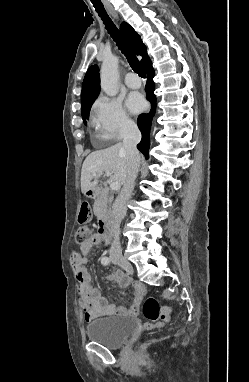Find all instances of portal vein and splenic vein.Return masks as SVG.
<instances>
[{
  "mask_svg": "<svg viewBox=\"0 0 249 382\" xmlns=\"http://www.w3.org/2000/svg\"><path fill=\"white\" fill-rule=\"evenodd\" d=\"M106 175L109 176L110 173H109V172H106ZM120 186H121L120 183L117 182V181H113V182L110 183V189H111V190H114V191H115V190H119V189H120Z\"/></svg>",
  "mask_w": 249,
  "mask_h": 382,
  "instance_id": "portal-vein-and-splenic-vein-1",
  "label": "portal vein and splenic vein"
}]
</instances>
